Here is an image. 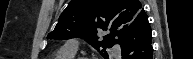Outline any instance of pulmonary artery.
Instances as JSON below:
<instances>
[{
    "label": "pulmonary artery",
    "mask_w": 193,
    "mask_h": 59,
    "mask_svg": "<svg viewBox=\"0 0 193 59\" xmlns=\"http://www.w3.org/2000/svg\"><path fill=\"white\" fill-rule=\"evenodd\" d=\"M64 48L73 52H76L78 49V46L72 42H68L64 45ZM119 50L113 51V54H118Z\"/></svg>",
    "instance_id": "obj_1"
}]
</instances>
